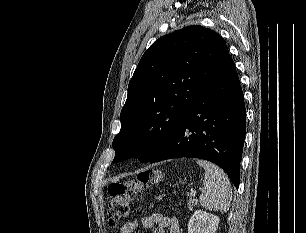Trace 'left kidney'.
<instances>
[{
	"label": "left kidney",
	"instance_id": "left-kidney-1",
	"mask_svg": "<svg viewBox=\"0 0 306 233\" xmlns=\"http://www.w3.org/2000/svg\"><path fill=\"white\" fill-rule=\"evenodd\" d=\"M219 217L203 210H196L188 222V233H215Z\"/></svg>",
	"mask_w": 306,
	"mask_h": 233
}]
</instances>
